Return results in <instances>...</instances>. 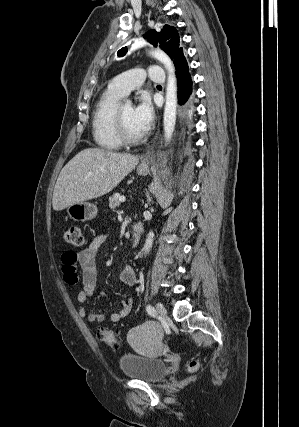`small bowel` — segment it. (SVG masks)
Returning <instances> with one entry per match:
<instances>
[{
	"mask_svg": "<svg viewBox=\"0 0 299 427\" xmlns=\"http://www.w3.org/2000/svg\"><path fill=\"white\" fill-rule=\"evenodd\" d=\"M104 241L105 234H98L80 251H68L61 257L65 282L71 286L82 282L83 288L77 294V302L80 304L79 315L92 323L103 322L106 318L102 313L89 312L85 308L86 302L93 296L96 287L98 277L97 255ZM78 266L82 269L81 277L78 274ZM119 277L121 282L129 287L136 284V275L131 266L124 267ZM132 304L131 298H123L120 310L110 315V321L118 322L127 317L131 312Z\"/></svg>",
	"mask_w": 299,
	"mask_h": 427,
	"instance_id": "1",
	"label": "small bowel"
}]
</instances>
